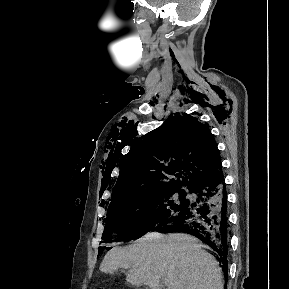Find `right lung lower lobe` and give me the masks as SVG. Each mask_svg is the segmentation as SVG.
I'll return each instance as SVG.
<instances>
[{"label":"right lung lower lobe","instance_id":"right-lung-lower-lobe-1","mask_svg":"<svg viewBox=\"0 0 289 289\" xmlns=\"http://www.w3.org/2000/svg\"><path fill=\"white\" fill-rule=\"evenodd\" d=\"M189 191L196 194V199L189 200L183 210L154 230L161 233L185 232L196 236L215 252L227 278L230 226L222 171L201 180Z\"/></svg>","mask_w":289,"mask_h":289}]
</instances>
